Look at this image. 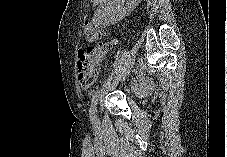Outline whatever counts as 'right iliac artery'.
<instances>
[{"instance_id":"1","label":"right iliac artery","mask_w":227,"mask_h":157,"mask_svg":"<svg viewBox=\"0 0 227 157\" xmlns=\"http://www.w3.org/2000/svg\"><path fill=\"white\" fill-rule=\"evenodd\" d=\"M98 93H99L98 91L94 93L91 101V107H90V119L93 125L96 124V104H97Z\"/></svg>"}]
</instances>
